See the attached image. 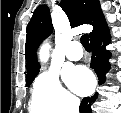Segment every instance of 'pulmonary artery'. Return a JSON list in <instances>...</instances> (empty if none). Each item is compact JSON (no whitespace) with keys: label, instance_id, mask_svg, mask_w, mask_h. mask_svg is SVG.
<instances>
[{"label":"pulmonary artery","instance_id":"obj_1","mask_svg":"<svg viewBox=\"0 0 121 113\" xmlns=\"http://www.w3.org/2000/svg\"><path fill=\"white\" fill-rule=\"evenodd\" d=\"M65 56L70 61H78L83 57V50L78 41H72L65 50Z\"/></svg>","mask_w":121,"mask_h":113}]
</instances>
